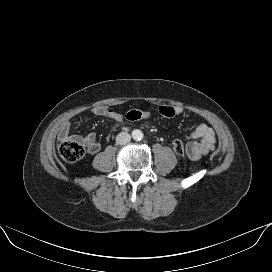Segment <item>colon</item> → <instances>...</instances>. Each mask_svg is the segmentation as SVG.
<instances>
[{
	"label": "colon",
	"mask_w": 272,
	"mask_h": 272,
	"mask_svg": "<svg viewBox=\"0 0 272 272\" xmlns=\"http://www.w3.org/2000/svg\"><path fill=\"white\" fill-rule=\"evenodd\" d=\"M159 114L164 118H172L176 115L175 108L169 105H161L158 108ZM153 116L149 110L132 109L128 111L125 118L131 122L142 120H149ZM174 152L183 157L185 155L184 144L180 140H174L172 143ZM58 153L60 157L68 162L75 163L83 158L85 155V147L83 144L74 140H64L58 143Z\"/></svg>",
	"instance_id": "obj_1"
}]
</instances>
